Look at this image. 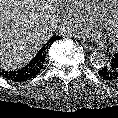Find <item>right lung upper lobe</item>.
Listing matches in <instances>:
<instances>
[{"mask_svg":"<svg viewBox=\"0 0 118 118\" xmlns=\"http://www.w3.org/2000/svg\"><path fill=\"white\" fill-rule=\"evenodd\" d=\"M52 40V39H51ZM50 40V41H51ZM47 45L48 44H45L42 48H41V50H40V52L38 53V54H41L42 52H44L45 50H46V48H47Z\"/></svg>","mask_w":118,"mask_h":118,"instance_id":"obj_1","label":"right lung upper lobe"}]
</instances>
